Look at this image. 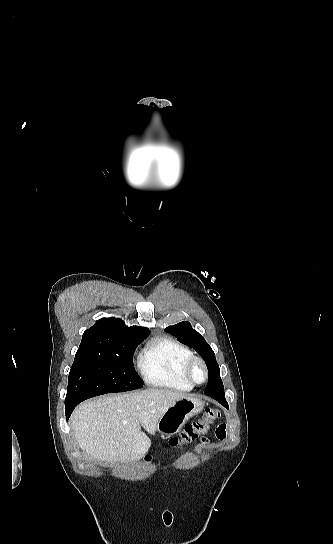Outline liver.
I'll list each match as a JSON object with an SVG mask.
<instances>
[{
	"label": "liver",
	"mask_w": 333,
	"mask_h": 544,
	"mask_svg": "<svg viewBox=\"0 0 333 544\" xmlns=\"http://www.w3.org/2000/svg\"><path fill=\"white\" fill-rule=\"evenodd\" d=\"M185 394L148 389L110 395L80 404L70 425L79 447L100 461L133 462L147 454L163 414Z\"/></svg>",
	"instance_id": "6515ba94"
}]
</instances>
